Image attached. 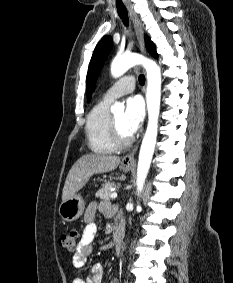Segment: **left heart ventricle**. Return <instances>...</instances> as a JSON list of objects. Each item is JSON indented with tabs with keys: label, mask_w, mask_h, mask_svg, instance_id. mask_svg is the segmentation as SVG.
Masks as SVG:
<instances>
[{
	"label": "left heart ventricle",
	"mask_w": 233,
	"mask_h": 283,
	"mask_svg": "<svg viewBox=\"0 0 233 283\" xmlns=\"http://www.w3.org/2000/svg\"><path fill=\"white\" fill-rule=\"evenodd\" d=\"M114 118L116 120L117 123V127L119 130V133L122 137H128L131 134L126 130L125 125H124V112H118L114 115Z\"/></svg>",
	"instance_id": "obj_1"
}]
</instances>
